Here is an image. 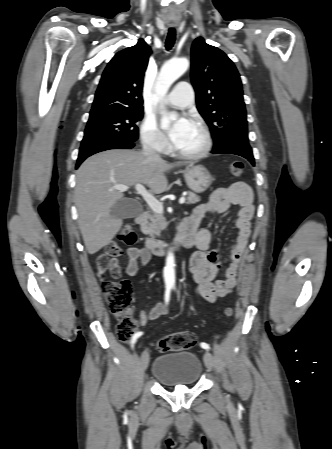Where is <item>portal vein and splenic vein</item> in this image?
Returning <instances> with one entry per match:
<instances>
[{
    "mask_svg": "<svg viewBox=\"0 0 332 449\" xmlns=\"http://www.w3.org/2000/svg\"><path fill=\"white\" fill-rule=\"evenodd\" d=\"M114 189L119 191H127L129 189V186L127 185H115ZM135 189L137 190L138 194H140L143 199L146 201V203L149 205V207L155 212V213H163V205L161 202H159L152 194H150L146 188L142 184H136ZM185 197L182 196L179 199V203L183 204L185 203Z\"/></svg>",
    "mask_w": 332,
    "mask_h": 449,
    "instance_id": "18ae733b",
    "label": "portal vein and splenic vein"
}]
</instances>
